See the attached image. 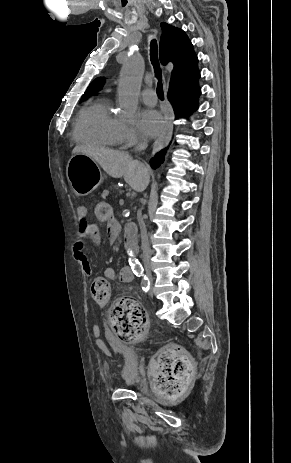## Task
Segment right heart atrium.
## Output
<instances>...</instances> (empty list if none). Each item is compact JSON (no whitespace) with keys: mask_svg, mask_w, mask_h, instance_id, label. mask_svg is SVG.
<instances>
[{"mask_svg":"<svg viewBox=\"0 0 291 463\" xmlns=\"http://www.w3.org/2000/svg\"><path fill=\"white\" fill-rule=\"evenodd\" d=\"M121 139L126 145H134L139 141V136L136 129L128 124H122L121 126Z\"/></svg>","mask_w":291,"mask_h":463,"instance_id":"1","label":"right heart atrium"}]
</instances>
